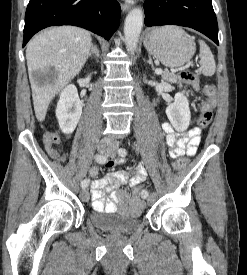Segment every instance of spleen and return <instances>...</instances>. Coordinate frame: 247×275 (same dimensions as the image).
<instances>
[{
    "label": "spleen",
    "instance_id": "3e777b00",
    "mask_svg": "<svg viewBox=\"0 0 247 275\" xmlns=\"http://www.w3.org/2000/svg\"><path fill=\"white\" fill-rule=\"evenodd\" d=\"M200 45V65L202 67V72L205 76H212L216 70V64L214 60V56L208 47V45L199 40Z\"/></svg>",
    "mask_w": 247,
    "mask_h": 275
}]
</instances>
